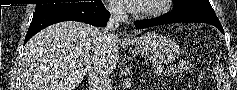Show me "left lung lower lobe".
Here are the masks:
<instances>
[{"instance_id":"obj_1","label":"left lung lower lobe","mask_w":237,"mask_h":90,"mask_svg":"<svg viewBox=\"0 0 237 90\" xmlns=\"http://www.w3.org/2000/svg\"><path fill=\"white\" fill-rule=\"evenodd\" d=\"M177 22H201L214 25L222 33H224L223 27L220 24V21L215 18H210L207 16L197 15L188 12H175L171 11L168 14H165L159 18L153 20L137 21L135 26L139 29L149 28L153 26L163 25L167 23H177Z\"/></svg>"}]
</instances>
